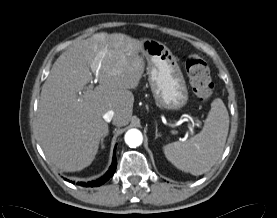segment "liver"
Masks as SVG:
<instances>
[{
  "label": "liver",
  "mask_w": 277,
  "mask_h": 218,
  "mask_svg": "<svg viewBox=\"0 0 277 218\" xmlns=\"http://www.w3.org/2000/svg\"><path fill=\"white\" fill-rule=\"evenodd\" d=\"M142 47V41L125 34L101 32L73 44L55 61L42 86L36 133L57 168L75 172L92 163L108 134L107 111H114L115 126L129 123L134 103L130 89L144 73ZM93 74L99 85L87 90Z\"/></svg>",
  "instance_id": "liver-1"
}]
</instances>
